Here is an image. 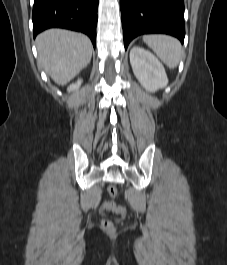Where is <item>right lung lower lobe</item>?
<instances>
[{
  "instance_id": "right-lung-lower-lobe-1",
  "label": "right lung lower lobe",
  "mask_w": 227,
  "mask_h": 265,
  "mask_svg": "<svg viewBox=\"0 0 227 265\" xmlns=\"http://www.w3.org/2000/svg\"><path fill=\"white\" fill-rule=\"evenodd\" d=\"M98 0H34V38L52 27L83 32L96 45Z\"/></svg>"
}]
</instances>
